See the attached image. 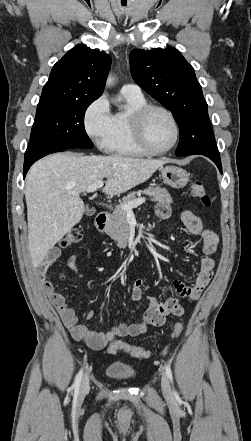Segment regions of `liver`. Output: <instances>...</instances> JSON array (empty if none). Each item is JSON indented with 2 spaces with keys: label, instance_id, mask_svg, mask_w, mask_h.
Here are the masks:
<instances>
[{
  "label": "liver",
  "instance_id": "liver-1",
  "mask_svg": "<svg viewBox=\"0 0 251 441\" xmlns=\"http://www.w3.org/2000/svg\"><path fill=\"white\" fill-rule=\"evenodd\" d=\"M168 159H138L120 155L56 153L37 161L26 177L28 242L33 267H38L54 245L84 213L79 194L106 178L103 192L124 193L145 182ZM77 192L78 195L73 193Z\"/></svg>",
  "mask_w": 251,
  "mask_h": 441
}]
</instances>
